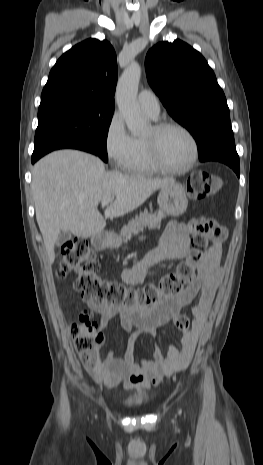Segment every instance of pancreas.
Returning a JSON list of instances; mask_svg holds the SVG:
<instances>
[{"mask_svg":"<svg viewBox=\"0 0 263 465\" xmlns=\"http://www.w3.org/2000/svg\"><path fill=\"white\" fill-rule=\"evenodd\" d=\"M164 215L161 212H147L140 213L139 216L133 218L126 226L120 231V239L123 242L131 240L133 235L138 234L144 228L156 229L160 227V223Z\"/></svg>","mask_w":263,"mask_h":465,"instance_id":"cf45deb5","label":"pancreas"}]
</instances>
